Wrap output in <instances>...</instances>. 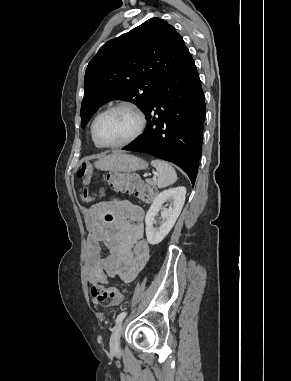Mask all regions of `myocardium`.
<instances>
[{"label": "myocardium", "mask_w": 291, "mask_h": 381, "mask_svg": "<svg viewBox=\"0 0 291 381\" xmlns=\"http://www.w3.org/2000/svg\"><path fill=\"white\" fill-rule=\"evenodd\" d=\"M117 109H128V110L132 111L138 119L137 128H136L135 132L129 138H127V139H125L119 143H114V144L105 143L98 136L97 124L103 116H105L106 114H108L114 110H117ZM145 126H146L145 115L137 105H135L131 102H120V103H117V104L105 109L104 111H102L100 114L97 115V117L94 119L93 124H92V135H93V138L95 139V141L101 147L118 148V147L126 146V145L134 142L135 140H137L141 136V134L143 133Z\"/></svg>", "instance_id": "1"}]
</instances>
